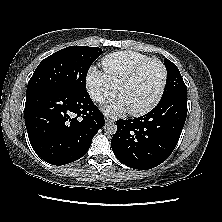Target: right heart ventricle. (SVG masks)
Here are the masks:
<instances>
[{"label": "right heart ventricle", "instance_id": "right-heart-ventricle-1", "mask_svg": "<svg viewBox=\"0 0 222 222\" xmlns=\"http://www.w3.org/2000/svg\"><path fill=\"white\" fill-rule=\"evenodd\" d=\"M148 58L138 52L118 51L104 57L102 66L110 80L118 87L139 63Z\"/></svg>", "mask_w": 222, "mask_h": 222}]
</instances>
